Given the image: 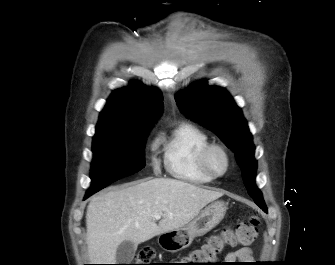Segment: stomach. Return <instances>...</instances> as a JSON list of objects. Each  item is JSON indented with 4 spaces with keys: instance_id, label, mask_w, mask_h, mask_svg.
Returning <instances> with one entry per match:
<instances>
[{
    "instance_id": "stomach-1",
    "label": "stomach",
    "mask_w": 335,
    "mask_h": 265,
    "mask_svg": "<svg viewBox=\"0 0 335 265\" xmlns=\"http://www.w3.org/2000/svg\"><path fill=\"white\" fill-rule=\"evenodd\" d=\"M226 210L224 201L212 202L186 226L160 234L159 246L171 253L188 247L195 237L203 236L215 228L223 220Z\"/></svg>"
}]
</instances>
